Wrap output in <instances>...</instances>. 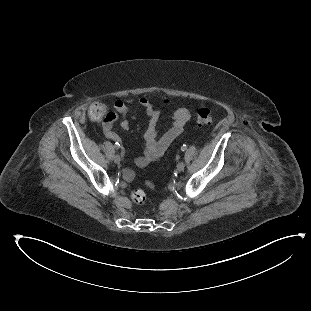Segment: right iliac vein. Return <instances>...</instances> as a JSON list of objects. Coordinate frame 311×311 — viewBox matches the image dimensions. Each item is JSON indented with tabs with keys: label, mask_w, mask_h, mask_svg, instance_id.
<instances>
[{
	"label": "right iliac vein",
	"mask_w": 311,
	"mask_h": 311,
	"mask_svg": "<svg viewBox=\"0 0 311 311\" xmlns=\"http://www.w3.org/2000/svg\"><path fill=\"white\" fill-rule=\"evenodd\" d=\"M120 161H121L120 156H119V155H115V156H114V162H115L116 164H120Z\"/></svg>",
	"instance_id": "right-iliac-vein-1"
}]
</instances>
